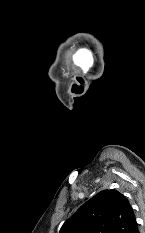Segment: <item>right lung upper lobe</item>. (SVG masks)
<instances>
[{
  "instance_id": "obj_1",
  "label": "right lung upper lobe",
  "mask_w": 145,
  "mask_h": 233,
  "mask_svg": "<svg viewBox=\"0 0 145 233\" xmlns=\"http://www.w3.org/2000/svg\"><path fill=\"white\" fill-rule=\"evenodd\" d=\"M136 225L127 198L116 190H103L85 202L59 233H132Z\"/></svg>"
}]
</instances>
